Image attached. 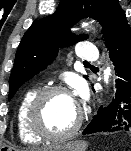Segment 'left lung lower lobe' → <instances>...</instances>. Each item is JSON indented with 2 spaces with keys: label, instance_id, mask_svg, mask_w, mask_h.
Returning a JSON list of instances; mask_svg holds the SVG:
<instances>
[{
  "label": "left lung lower lobe",
  "instance_id": "0a47b994",
  "mask_svg": "<svg viewBox=\"0 0 131 151\" xmlns=\"http://www.w3.org/2000/svg\"><path fill=\"white\" fill-rule=\"evenodd\" d=\"M109 50L117 75L115 98L108 107L99 108L82 134L131 133V33L112 44Z\"/></svg>",
  "mask_w": 131,
  "mask_h": 151
}]
</instances>
